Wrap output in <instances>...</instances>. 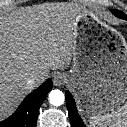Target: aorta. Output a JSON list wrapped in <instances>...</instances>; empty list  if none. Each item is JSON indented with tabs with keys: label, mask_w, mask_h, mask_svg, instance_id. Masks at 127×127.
<instances>
[{
	"label": "aorta",
	"mask_w": 127,
	"mask_h": 127,
	"mask_svg": "<svg viewBox=\"0 0 127 127\" xmlns=\"http://www.w3.org/2000/svg\"><path fill=\"white\" fill-rule=\"evenodd\" d=\"M50 104L54 106H60L64 103L65 96L64 93L60 90H52L49 93Z\"/></svg>",
	"instance_id": "aorta-1"
}]
</instances>
